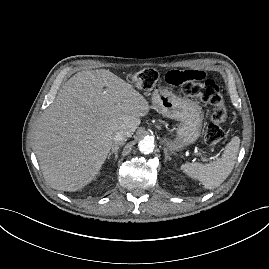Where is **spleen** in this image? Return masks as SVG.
Returning a JSON list of instances; mask_svg holds the SVG:
<instances>
[{"mask_svg": "<svg viewBox=\"0 0 269 269\" xmlns=\"http://www.w3.org/2000/svg\"><path fill=\"white\" fill-rule=\"evenodd\" d=\"M240 139L235 136L225 146L220 158L208 164L186 162L180 169L189 177L199 180L205 189L219 187L232 172L237 160Z\"/></svg>", "mask_w": 269, "mask_h": 269, "instance_id": "3e777b00", "label": "spleen"}]
</instances>
